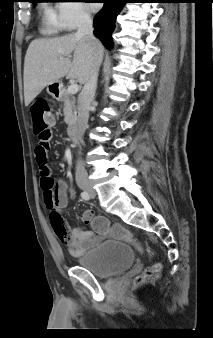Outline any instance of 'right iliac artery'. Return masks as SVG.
Returning <instances> with one entry per match:
<instances>
[{
    "mask_svg": "<svg viewBox=\"0 0 213 338\" xmlns=\"http://www.w3.org/2000/svg\"><path fill=\"white\" fill-rule=\"evenodd\" d=\"M81 197H82V199H84V200H89V199H90V195H89V193L86 192V191H84V192L81 193Z\"/></svg>",
    "mask_w": 213,
    "mask_h": 338,
    "instance_id": "right-iliac-artery-1",
    "label": "right iliac artery"
}]
</instances>
